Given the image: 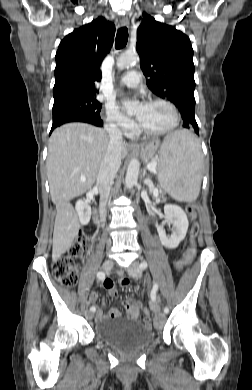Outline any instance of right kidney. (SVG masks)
Instances as JSON below:
<instances>
[{
  "label": "right kidney",
  "instance_id": "obj_1",
  "mask_svg": "<svg viewBox=\"0 0 252 390\" xmlns=\"http://www.w3.org/2000/svg\"><path fill=\"white\" fill-rule=\"evenodd\" d=\"M79 221L82 225H87L91 218V206L83 200H78L75 205Z\"/></svg>",
  "mask_w": 252,
  "mask_h": 390
}]
</instances>
